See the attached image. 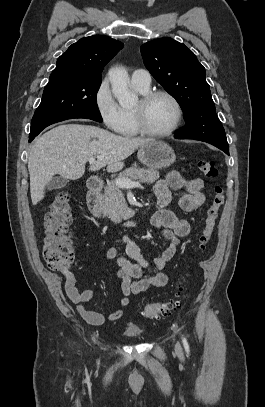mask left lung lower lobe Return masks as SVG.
Returning a JSON list of instances; mask_svg holds the SVG:
<instances>
[{"instance_id":"left-lung-lower-lobe-1","label":"left lung lower lobe","mask_w":265,"mask_h":407,"mask_svg":"<svg viewBox=\"0 0 265 407\" xmlns=\"http://www.w3.org/2000/svg\"><path fill=\"white\" fill-rule=\"evenodd\" d=\"M217 147V146H216ZM219 149H221V150H223L226 154H228L229 155V149H225V148H222V147H218Z\"/></svg>"}]
</instances>
